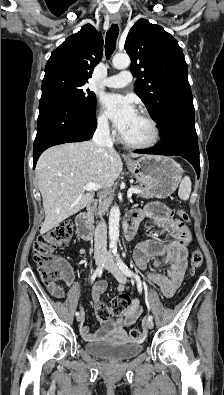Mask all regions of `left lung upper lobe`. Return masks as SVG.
Instances as JSON below:
<instances>
[{
  "label": "left lung upper lobe",
  "mask_w": 224,
  "mask_h": 395,
  "mask_svg": "<svg viewBox=\"0 0 224 395\" xmlns=\"http://www.w3.org/2000/svg\"><path fill=\"white\" fill-rule=\"evenodd\" d=\"M125 50L137 75L135 92L157 124L168 109L193 104L183 52L162 27L139 19L128 33Z\"/></svg>",
  "instance_id": "1"
}]
</instances>
